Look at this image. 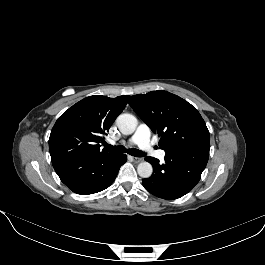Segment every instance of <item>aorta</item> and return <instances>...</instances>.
Returning <instances> with one entry per match:
<instances>
[{
  "label": "aorta",
  "mask_w": 265,
  "mask_h": 265,
  "mask_svg": "<svg viewBox=\"0 0 265 265\" xmlns=\"http://www.w3.org/2000/svg\"><path fill=\"white\" fill-rule=\"evenodd\" d=\"M116 125L122 134L130 135L137 127V120L133 115L125 113L117 117ZM137 172L140 177L149 178L152 175L153 167L149 162L143 161L139 163Z\"/></svg>",
  "instance_id": "obj_1"
}]
</instances>
